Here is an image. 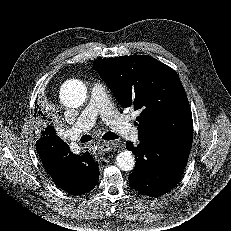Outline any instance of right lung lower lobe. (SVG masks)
Segmentation results:
<instances>
[{
  "label": "right lung lower lobe",
  "mask_w": 231,
  "mask_h": 231,
  "mask_svg": "<svg viewBox=\"0 0 231 231\" xmlns=\"http://www.w3.org/2000/svg\"><path fill=\"white\" fill-rule=\"evenodd\" d=\"M36 150L51 178L64 191L80 195L92 190L98 183L97 161L88 152L82 156L72 154L53 127L42 131Z\"/></svg>",
  "instance_id": "98d812e1"
}]
</instances>
